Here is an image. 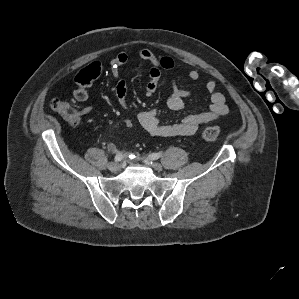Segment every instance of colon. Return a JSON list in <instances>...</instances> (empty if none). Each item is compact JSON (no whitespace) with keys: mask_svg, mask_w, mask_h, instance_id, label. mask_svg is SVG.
Masks as SVG:
<instances>
[{"mask_svg":"<svg viewBox=\"0 0 299 299\" xmlns=\"http://www.w3.org/2000/svg\"><path fill=\"white\" fill-rule=\"evenodd\" d=\"M51 108L60 115L68 124L77 125L80 120L79 111L68 101L62 99H53ZM131 122H126L125 127H131ZM221 130L218 127H205L201 131V137L206 141H215L220 137Z\"/></svg>","mask_w":299,"mask_h":299,"instance_id":"obj_1","label":"colon"}]
</instances>
